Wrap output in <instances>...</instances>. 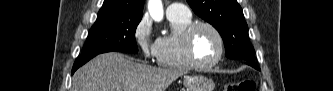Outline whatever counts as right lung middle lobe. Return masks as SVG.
Wrapping results in <instances>:
<instances>
[{
    "mask_svg": "<svg viewBox=\"0 0 333 91\" xmlns=\"http://www.w3.org/2000/svg\"><path fill=\"white\" fill-rule=\"evenodd\" d=\"M142 16L100 17L91 27L81 56L119 51L137 53L135 31Z\"/></svg>",
    "mask_w": 333,
    "mask_h": 91,
    "instance_id": "right-lung-middle-lobe-1",
    "label": "right lung middle lobe"
}]
</instances>
